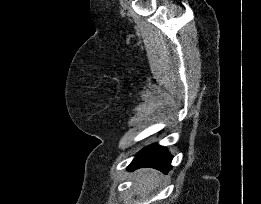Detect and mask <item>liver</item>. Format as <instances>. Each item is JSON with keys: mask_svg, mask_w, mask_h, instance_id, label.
Segmentation results:
<instances>
[{"mask_svg": "<svg viewBox=\"0 0 261 204\" xmlns=\"http://www.w3.org/2000/svg\"><path fill=\"white\" fill-rule=\"evenodd\" d=\"M160 178L159 172L154 169H139L136 172L134 184L137 194L156 189L160 183Z\"/></svg>", "mask_w": 261, "mask_h": 204, "instance_id": "liver-1", "label": "liver"}]
</instances>
